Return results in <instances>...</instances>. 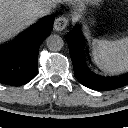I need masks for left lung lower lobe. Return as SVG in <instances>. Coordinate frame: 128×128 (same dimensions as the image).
<instances>
[{"instance_id":"obj_1","label":"left lung lower lobe","mask_w":128,"mask_h":128,"mask_svg":"<svg viewBox=\"0 0 128 128\" xmlns=\"http://www.w3.org/2000/svg\"><path fill=\"white\" fill-rule=\"evenodd\" d=\"M77 80L88 88L98 91H108L128 85V77L109 78L91 71L85 61L84 37L76 25L66 36Z\"/></svg>"}]
</instances>
